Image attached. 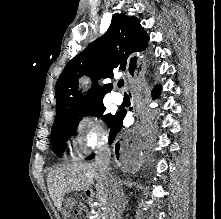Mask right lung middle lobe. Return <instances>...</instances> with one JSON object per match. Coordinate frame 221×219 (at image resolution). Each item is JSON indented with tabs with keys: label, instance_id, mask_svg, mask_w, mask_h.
Listing matches in <instances>:
<instances>
[{
	"label": "right lung middle lobe",
	"instance_id": "dd1d6c3e",
	"mask_svg": "<svg viewBox=\"0 0 221 219\" xmlns=\"http://www.w3.org/2000/svg\"><path fill=\"white\" fill-rule=\"evenodd\" d=\"M106 108L102 101L89 103L74 109L68 114L54 121L52 127L51 141L53 151L61 155L66 147V141L69 136L76 132V128L79 124L81 116L94 115L101 116L105 112ZM115 115L106 114L102 119L111 126Z\"/></svg>",
	"mask_w": 221,
	"mask_h": 219
}]
</instances>
